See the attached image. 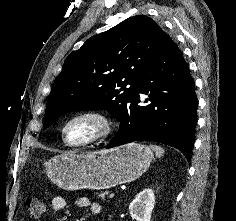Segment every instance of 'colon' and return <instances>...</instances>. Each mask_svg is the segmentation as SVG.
Returning <instances> with one entry per match:
<instances>
[{"label":"colon","mask_w":236,"mask_h":221,"mask_svg":"<svg viewBox=\"0 0 236 221\" xmlns=\"http://www.w3.org/2000/svg\"><path fill=\"white\" fill-rule=\"evenodd\" d=\"M26 205L32 218H40L45 213L46 205L41 198H29Z\"/></svg>","instance_id":"colon-1"}]
</instances>
